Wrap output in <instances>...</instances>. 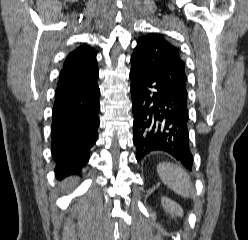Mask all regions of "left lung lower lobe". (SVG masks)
<instances>
[{
    "label": "left lung lower lobe",
    "mask_w": 248,
    "mask_h": 240,
    "mask_svg": "<svg viewBox=\"0 0 248 240\" xmlns=\"http://www.w3.org/2000/svg\"><path fill=\"white\" fill-rule=\"evenodd\" d=\"M133 142L140 160L153 151H164L190 169L187 96L131 59Z\"/></svg>",
    "instance_id": "left-lung-lower-lobe-1"
}]
</instances>
